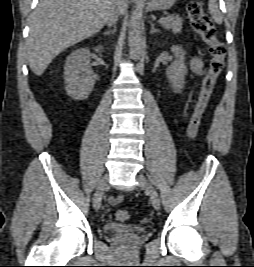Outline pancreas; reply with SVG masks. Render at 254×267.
<instances>
[{
    "instance_id": "pancreas-1",
    "label": "pancreas",
    "mask_w": 254,
    "mask_h": 267,
    "mask_svg": "<svg viewBox=\"0 0 254 267\" xmlns=\"http://www.w3.org/2000/svg\"><path fill=\"white\" fill-rule=\"evenodd\" d=\"M161 24L165 29L172 30L174 34H178L182 30L183 19L180 17H171L169 20Z\"/></svg>"
}]
</instances>
